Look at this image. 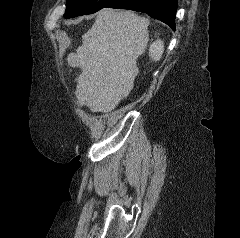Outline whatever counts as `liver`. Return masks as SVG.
<instances>
[{
	"mask_svg": "<svg viewBox=\"0 0 240 238\" xmlns=\"http://www.w3.org/2000/svg\"><path fill=\"white\" fill-rule=\"evenodd\" d=\"M148 25L147 19L131 11L105 8L97 14L82 46L67 58L70 67L82 71L75 79L81 107L108 113L129 95L139 73L136 59L149 41Z\"/></svg>",
	"mask_w": 240,
	"mask_h": 238,
	"instance_id": "1",
	"label": "liver"
}]
</instances>
